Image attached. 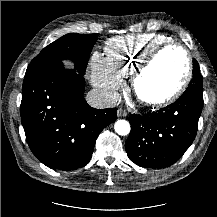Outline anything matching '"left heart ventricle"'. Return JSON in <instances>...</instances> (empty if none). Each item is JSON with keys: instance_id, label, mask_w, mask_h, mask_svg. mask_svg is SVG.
<instances>
[{"instance_id": "obj_1", "label": "left heart ventricle", "mask_w": 217, "mask_h": 217, "mask_svg": "<svg viewBox=\"0 0 217 217\" xmlns=\"http://www.w3.org/2000/svg\"><path fill=\"white\" fill-rule=\"evenodd\" d=\"M187 60L179 49L163 52L138 84V93L145 99H158L173 92L183 80Z\"/></svg>"}]
</instances>
